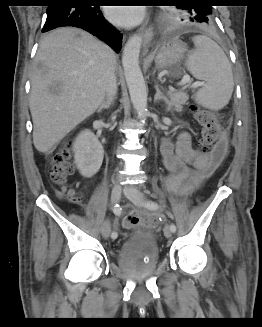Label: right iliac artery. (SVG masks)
Here are the masks:
<instances>
[{
    "mask_svg": "<svg viewBox=\"0 0 262 327\" xmlns=\"http://www.w3.org/2000/svg\"><path fill=\"white\" fill-rule=\"evenodd\" d=\"M121 211H122V208H121L118 204H116V205L113 207V213H114L115 215L120 216ZM117 236H118V235H117L116 232H113V233L111 234V237H112L113 239L117 238Z\"/></svg>",
    "mask_w": 262,
    "mask_h": 327,
    "instance_id": "82829eb1",
    "label": "right iliac artery"
}]
</instances>
